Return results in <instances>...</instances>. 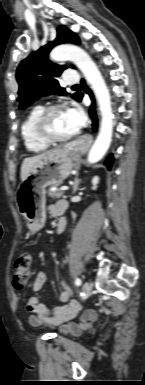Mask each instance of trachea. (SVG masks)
<instances>
[{"label":"trachea","instance_id":"obj_1","mask_svg":"<svg viewBox=\"0 0 145 385\" xmlns=\"http://www.w3.org/2000/svg\"><path fill=\"white\" fill-rule=\"evenodd\" d=\"M73 87L76 88V87H80V86L79 85H74Z\"/></svg>","mask_w":145,"mask_h":385}]
</instances>
